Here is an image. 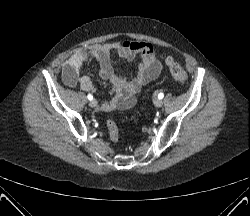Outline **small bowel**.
<instances>
[{
    "label": "small bowel",
    "mask_w": 250,
    "mask_h": 216,
    "mask_svg": "<svg viewBox=\"0 0 250 216\" xmlns=\"http://www.w3.org/2000/svg\"><path fill=\"white\" fill-rule=\"evenodd\" d=\"M131 61L140 56V62L134 76L127 77L116 72L111 65V53ZM93 58L99 63V75L112 85V97L100 103L104 111L117 108L127 109L134 105L137 95L149 82L157 79L162 72V65L157 60L153 46L145 41L110 42L91 45L72 53L63 63L62 78L68 87H79L84 91L96 92L88 76H80L83 64Z\"/></svg>",
    "instance_id": "1"
}]
</instances>
